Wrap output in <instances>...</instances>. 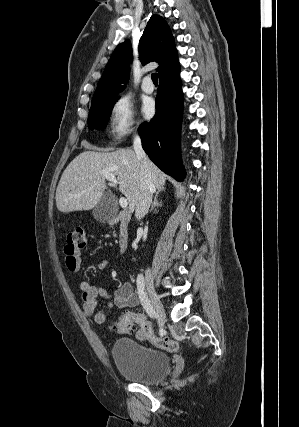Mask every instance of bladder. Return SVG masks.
<instances>
[{"mask_svg": "<svg viewBox=\"0 0 299 427\" xmlns=\"http://www.w3.org/2000/svg\"><path fill=\"white\" fill-rule=\"evenodd\" d=\"M112 357L118 372L125 378L144 385L164 380L171 368L169 356L132 339H117L112 344Z\"/></svg>", "mask_w": 299, "mask_h": 427, "instance_id": "31cf9c89", "label": "bladder"}]
</instances>
